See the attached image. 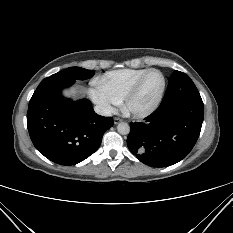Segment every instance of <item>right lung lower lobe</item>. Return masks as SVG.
Returning <instances> with one entry per match:
<instances>
[{
	"mask_svg": "<svg viewBox=\"0 0 233 233\" xmlns=\"http://www.w3.org/2000/svg\"><path fill=\"white\" fill-rule=\"evenodd\" d=\"M74 82L53 76L43 79L27 112V127L36 149L49 160L68 166L93 154L113 126V118L97 115L89 100L72 101L61 95V90Z\"/></svg>",
	"mask_w": 233,
	"mask_h": 233,
	"instance_id": "1",
	"label": "right lung lower lobe"
}]
</instances>
